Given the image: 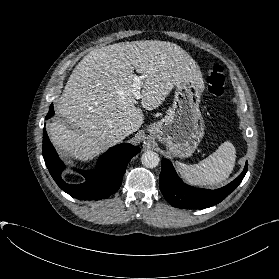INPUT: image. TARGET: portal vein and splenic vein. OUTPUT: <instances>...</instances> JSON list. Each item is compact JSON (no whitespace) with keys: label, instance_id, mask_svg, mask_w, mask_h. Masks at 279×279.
Masks as SVG:
<instances>
[{"label":"portal vein and splenic vein","instance_id":"18ae733b","mask_svg":"<svg viewBox=\"0 0 279 279\" xmlns=\"http://www.w3.org/2000/svg\"><path fill=\"white\" fill-rule=\"evenodd\" d=\"M145 78L144 75L142 76H138V75H134L133 77V83H132V87H133V95L135 97L136 100L141 98V85H142V80Z\"/></svg>","mask_w":279,"mask_h":279}]
</instances>
